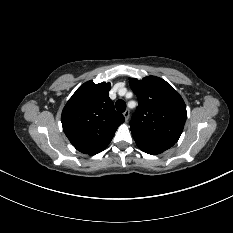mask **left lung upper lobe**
<instances>
[{"label": "left lung upper lobe", "mask_w": 233, "mask_h": 233, "mask_svg": "<svg viewBox=\"0 0 233 233\" xmlns=\"http://www.w3.org/2000/svg\"><path fill=\"white\" fill-rule=\"evenodd\" d=\"M129 83L139 100L130 121L134 140L176 143L186 121V106L182 97L159 77L131 78Z\"/></svg>", "instance_id": "left-lung-upper-lobe-1"}]
</instances>
